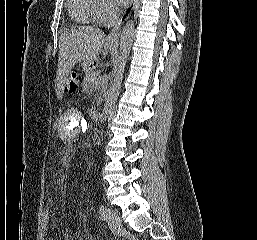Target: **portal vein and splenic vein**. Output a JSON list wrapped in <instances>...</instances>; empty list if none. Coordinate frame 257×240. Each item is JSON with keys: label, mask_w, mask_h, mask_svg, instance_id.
I'll use <instances>...</instances> for the list:
<instances>
[{"label": "portal vein and splenic vein", "mask_w": 257, "mask_h": 240, "mask_svg": "<svg viewBox=\"0 0 257 240\" xmlns=\"http://www.w3.org/2000/svg\"><path fill=\"white\" fill-rule=\"evenodd\" d=\"M100 82H101V83L104 82V77H100Z\"/></svg>", "instance_id": "portal-vein-and-splenic-vein-1"}]
</instances>
